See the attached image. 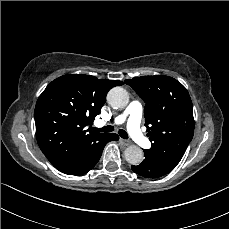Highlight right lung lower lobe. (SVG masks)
Instances as JSON below:
<instances>
[{"label": "right lung lower lobe", "mask_w": 229, "mask_h": 229, "mask_svg": "<svg viewBox=\"0 0 229 229\" xmlns=\"http://www.w3.org/2000/svg\"><path fill=\"white\" fill-rule=\"evenodd\" d=\"M117 140H119V137L115 133L103 134L100 139L94 142L77 161L61 172L68 175H82L87 173L99 161L104 146L110 141Z\"/></svg>", "instance_id": "1"}]
</instances>
